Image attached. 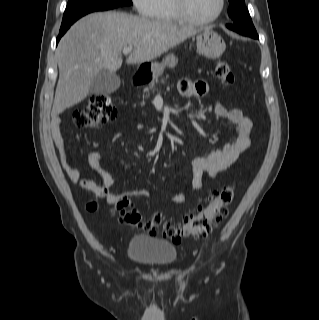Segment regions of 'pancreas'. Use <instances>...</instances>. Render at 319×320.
I'll list each match as a JSON object with an SVG mask.
<instances>
[{
    "label": "pancreas",
    "instance_id": "1",
    "mask_svg": "<svg viewBox=\"0 0 319 320\" xmlns=\"http://www.w3.org/2000/svg\"><path fill=\"white\" fill-rule=\"evenodd\" d=\"M165 78L161 79V82H164ZM158 83L157 80H153L149 83V85L144 89V92L146 93V98L149 97L150 92L154 90L155 84Z\"/></svg>",
    "mask_w": 319,
    "mask_h": 320
}]
</instances>
